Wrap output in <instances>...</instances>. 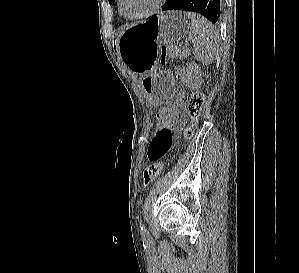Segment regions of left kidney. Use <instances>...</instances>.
Wrapping results in <instances>:
<instances>
[{
	"mask_svg": "<svg viewBox=\"0 0 299 273\" xmlns=\"http://www.w3.org/2000/svg\"><path fill=\"white\" fill-rule=\"evenodd\" d=\"M202 71L196 63L191 62L186 68L180 71V80L191 89H199L201 87Z\"/></svg>",
	"mask_w": 299,
	"mask_h": 273,
	"instance_id": "left-kidney-1",
	"label": "left kidney"
}]
</instances>
